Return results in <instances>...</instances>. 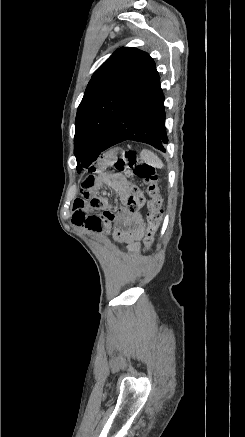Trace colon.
<instances>
[{"label":"colon","mask_w":245,"mask_h":437,"mask_svg":"<svg viewBox=\"0 0 245 437\" xmlns=\"http://www.w3.org/2000/svg\"><path fill=\"white\" fill-rule=\"evenodd\" d=\"M113 164L117 170L129 176H137L147 185L146 191L150 198L149 201L146 200L144 193L135 187L129 195L126 205L129 211H138L147 205V230L144 243L149 250L154 243L163 214L157 188L158 176L156 170L153 166L140 161L136 152L132 150L122 152L121 155L115 159Z\"/></svg>","instance_id":"5ec220e1"}]
</instances>
